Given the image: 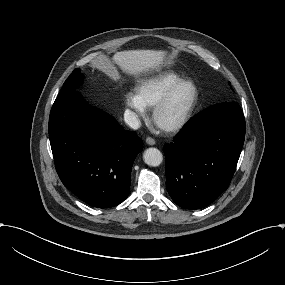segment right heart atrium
I'll return each mask as SVG.
<instances>
[{
    "label": "right heart atrium",
    "mask_w": 285,
    "mask_h": 285,
    "mask_svg": "<svg viewBox=\"0 0 285 285\" xmlns=\"http://www.w3.org/2000/svg\"><path fill=\"white\" fill-rule=\"evenodd\" d=\"M124 105L131 109L138 120H144L148 115V109L135 91H128L124 97Z\"/></svg>",
    "instance_id": "d8ad5b80"
}]
</instances>
